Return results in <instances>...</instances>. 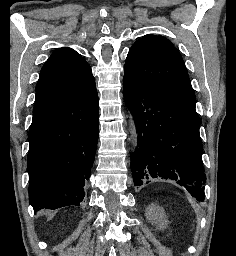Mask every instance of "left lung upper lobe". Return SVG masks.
I'll list each match as a JSON object with an SVG mask.
<instances>
[{"label": "left lung upper lobe", "instance_id": "5c2ea615", "mask_svg": "<svg viewBox=\"0 0 236 256\" xmlns=\"http://www.w3.org/2000/svg\"><path fill=\"white\" fill-rule=\"evenodd\" d=\"M125 75L195 106L196 97L178 50L163 36L146 35L129 50Z\"/></svg>", "mask_w": 236, "mask_h": 256}]
</instances>
